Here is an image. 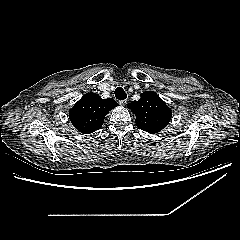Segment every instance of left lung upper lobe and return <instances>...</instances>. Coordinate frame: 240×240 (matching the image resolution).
<instances>
[{"label": "left lung upper lobe", "mask_w": 240, "mask_h": 240, "mask_svg": "<svg viewBox=\"0 0 240 240\" xmlns=\"http://www.w3.org/2000/svg\"><path fill=\"white\" fill-rule=\"evenodd\" d=\"M136 116V125L149 133H158L171 120L172 112L166 103L153 91L141 94L138 101L129 104Z\"/></svg>", "instance_id": "5c2ea615"}]
</instances>
